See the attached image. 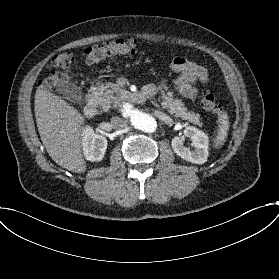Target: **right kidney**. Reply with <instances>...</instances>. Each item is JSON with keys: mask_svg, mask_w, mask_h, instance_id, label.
Here are the masks:
<instances>
[{"mask_svg": "<svg viewBox=\"0 0 279 279\" xmlns=\"http://www.w3.org/2000/svg\"><path fill=\"white\" fill-rule=\"evenodd\" d=\"M81 136L85 159L91 162L101 161L107 149V139L103 135L96 134L89 125L82 128Z\"/></svg>", "mask_w": 279, "mask_h": 279, "instance_id": "right-kidney-1", "label": "right kidney"}]
</instances>
